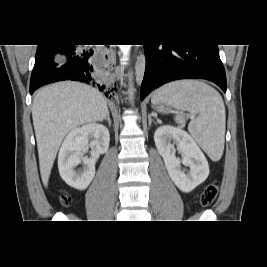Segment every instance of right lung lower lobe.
Listing matches in <instances>:
<instances>
[{"instance_id": "obj_1", "label": "right lung lower lobe", "mask_w": 267, "mask_h": 267, "mask_svg": "<svg viewBox=\"0 0 267 267\" xmlns=\"http://www.w3.org/2000/svg\"><path fill=\"white\" fill-rule=\"evenodd\" d=\"M62 80L90 84L107 97H112L116 91L100 52L74 45H38L30 94L43 85Z\"/></svg>"}]
</instances>
